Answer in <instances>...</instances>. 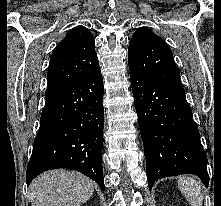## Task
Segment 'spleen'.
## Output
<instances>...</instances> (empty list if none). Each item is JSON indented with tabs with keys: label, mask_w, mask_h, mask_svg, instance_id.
Instances as JSON below:
<instances>
[{
	"label": "spleen",
	"mask_w": 221,
	"mask_h": 206,
	"mask_svg": "<svg viewBox=\"0 0 221 206\" xmlns=\"http://www.w3.org/2000/svg\"><path fill=\"white\" fill-rule=\"evenodd\" d=\"M179 189L191 206H202L203 195L200 181L190 176H183L178 181Z\"/></svg>",
	"instance_id": "1"
}]
</instances>
